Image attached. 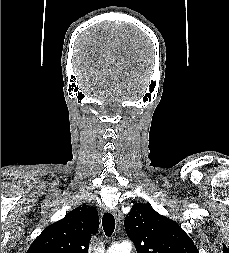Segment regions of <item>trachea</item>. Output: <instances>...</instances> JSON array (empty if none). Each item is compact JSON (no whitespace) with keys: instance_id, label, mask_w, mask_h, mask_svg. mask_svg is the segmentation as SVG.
Here are the masks:
<instances>
[{"instance_id":"3493384b","label":"trachea","mask_w":229,"mask_h":253,"mask_svg":"<svg viewBox=\"0 0 229 253\" xmlns=\"http://www.w3.org/2000/svg\"><path fill=\"white\" fill-rule=\"evenodd\" d=\"M102 226L106 236L110 237L115 229V219L113 214L105 213L102 218Z\"/></svg>"}]
</instances>
